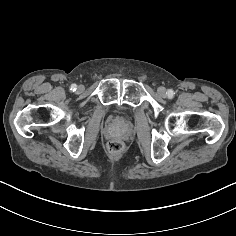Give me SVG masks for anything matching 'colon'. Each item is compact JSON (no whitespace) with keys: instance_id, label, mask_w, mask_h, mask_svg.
<instances>
[{"instance_id":"colon-1","label":"colon","mask_w":236,"mask_h":236,"mask_svg":"<svg viewBox=\"0 0 236 236\" xmlns=\"http://www.w3.org/2000/svg\"><path fill=\"white\" fill-rule=\"evenodd\" d=\"M109 149L112 152H118L122 149V143L118 140H113L109 143Z\"/></svg>"}]
</instances>
